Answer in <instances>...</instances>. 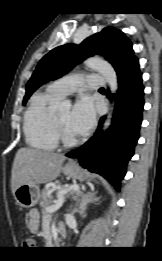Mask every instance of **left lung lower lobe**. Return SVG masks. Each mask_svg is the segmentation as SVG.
Listing matches in <instances>:
<instances>
[{"label":"left lung lower lobe","mask_w":162,"mask_h":261,"mask_svg":"<svg viewBox=\"0 0 162 261\" xmlns=\"http://www.w3.org/2000/svg\"><path fill=\"white\" fill-rule=\"evenodd\" d=\"M118 85L110 128L102 133L101 126L105 119L102 117L95 135L66 156L78 158L84 168L102 175L119 191L120 181L125 176L127 163L133 156L139 139L142 123L144 87L138 60L118 74ZM108 98H112L110 93ZM102 135L103 141L99 143Z\"/></svg>","instance_id":"left-lung-lower-lobe-1"}]
</instances>
